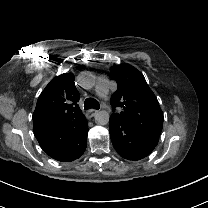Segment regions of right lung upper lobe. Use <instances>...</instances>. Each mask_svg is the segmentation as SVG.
Wrapping results in <instances>:
<instances>
[{
  "label": "right lung upper lobe",
  "mask_w": 208,
  "mask_h": 208,
  "mask_svg": "<svg viewBox=\"0 0 208 208\" xmlns=\"http://www.w3.org/2000/svg\"><path fill=\"white\" fill-rule=\"evenodd\" d=\"M74 75L56 76L40 94L33 113L34 133L68 126L84 116L78 105Z\"/></svg>",
  "instance_id": "right-lung-upper-lobe-1"
}]
</instances>
